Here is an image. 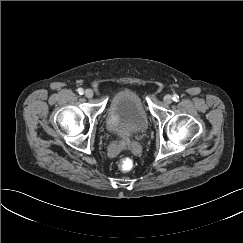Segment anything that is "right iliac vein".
I'll use <instances>...</instances> for the list:
<instances>
[{
  "label": "right iliac vein",
  "instance_id": "right-iliac-vein-1",
  "mask_svg": "<svg viewBox=\"0 0 243 243\" xmlns=\"http://www.w3.org/2000/svg\"><path fill=\"white\" fill-rule=\"evenodd\" d=\"M84 95L87 97V98H92L93 96V91L91 89H86L85 92H84Z\"/></svg>",
  "mask_w": 243,
  "mask_h": 243
}]
</instances>
